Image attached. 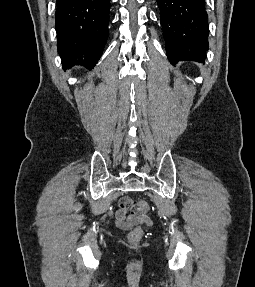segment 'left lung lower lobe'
I'll return each mask as SVG.
<instances>
[{
  "mask_svg": "<svg viewBox=\"0 0 255 287\" xmlns=\"http://www.w3.org/2000/svg\"><path fill=\"white\" fill-rule=\"evenodd\" d=\"M169 61L203 62L208 49L205 0H156Z\"/></svg>",
  "mask_w": 255,
  "mask_h": 287,
  "instance_id": "obj_1",
  "label": "left lung lower lobe"
}]
</instances>
